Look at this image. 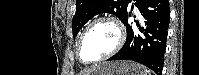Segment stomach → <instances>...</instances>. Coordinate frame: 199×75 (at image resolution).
I'll list each match as a JSON object with an SVG mask.
<instances>
[{
  "instance_id": "obj_1",
  "label": "stomach",
  "mask_w": 199,
  "mask_h": 75,
  "mask_svg": "<svg viewBox=\"0 0 199 75\" xmlns=\"http://www.w3.org/2000/svg\"><path fill=\"white\" fill-rule=\"evenodd\" d=\"M144 68L129 61L108 62L95 67L89 75H144Z\"/></svg>"
}]
</instances>
